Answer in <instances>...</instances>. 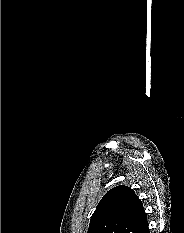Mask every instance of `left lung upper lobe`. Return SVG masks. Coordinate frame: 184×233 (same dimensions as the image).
<instances>
[{
    "label": "left lung upper lobe",
    "instance_id": "5c2ea615",
    "mask_svg": "<svg viewBox=\"0 0 184 233\" xmlns=\"http://www.w3.org/2000/svg\"><path fill=\"white\" fill-rule=\"evenodd\" d=\"M147 228L141 200L131 188L119 185L98 203L87 233H145Z\"/></svg>",
    "mask_w": 184,
    "mask_h": 233
}]
</instances>
